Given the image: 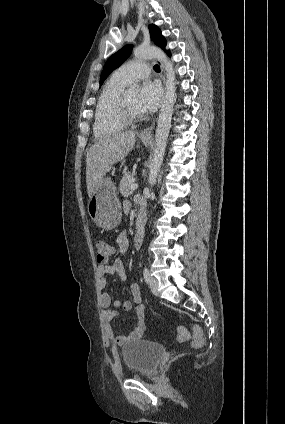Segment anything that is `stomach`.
Listing matches in <instances>:
<instances>
[{
    "mask_svg": "<svg viewBox=\"0 0 285 424\" xmlns=\"http://www.w3.org/2000/svg\"><path fill=\"white\" fill-rule=\"evenodd\" d=\"M144 145L150 142L149 138H141ZM115 169H112L114 173ZM117 189L111 178L102 180L100 185L88 200V213L97 226L104 230H111L121 222V204L117 196Z\"/></svg>",
    "mask_w": 285,
    "mask_h": 424,
    "instance_id": "0dacf381",
    "label": "stomach"
}]
</instances>
